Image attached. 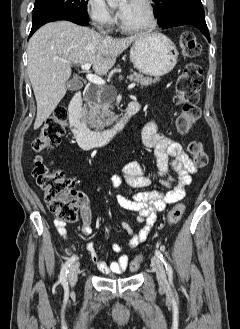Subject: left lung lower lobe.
<instances>
[{
	"label": "left lung lower lobe",
	"mask_w": 240,
	"mask_h": 329,
	"mask_svg": "<svg viewBox=\"0 0 240 329\" xmlns=\"http://www.w3.org/2000/svg\"><path fill=\"white\" fill-rule=\"evenodd\" d=\"M193 25L200 29V31L205 35V37L210 42V34L205 22V16L194 15V14H179L169 18L162 26V29L182 26V25Z\"/></svg>",
	"instance_id": "1"
}]
</instances>
